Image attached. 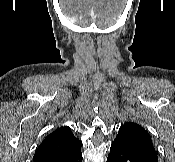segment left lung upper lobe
I'll return each mask as SVG.
<instances>
[{
	"instance_id": "1",
	"label": "left lung upper lobe",
	"mask_w": 175,
	"mask_h": 162,
	"mask_svg": "<svg viewBox=\"0 0 175 162\" xmlns=\"http://www.w3.org/2000/svg\"><path fill=\"white\" fill-rule=\"evenodd\" d=\"M117 137H124L126 139L139 142L152 143L149 133L140 125L133 122H127L122 125L119 129Z\"/></svg>"
}]
</instances>
